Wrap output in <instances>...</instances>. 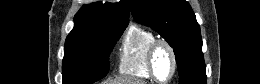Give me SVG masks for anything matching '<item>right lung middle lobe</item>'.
<instances>
[{
  "label": "right lung middle lobe",
  "instance_id": "1",
  "mask_svg": "<svg viewBox=\"0 0 260 84\" xmlns=\"http://www.w3.org/2000/svg\"><path fill=\"white\" fill-rule=\"evenodd\" d=\"M126 27H108L85 41L65 43L63 84H90L109 72V55Z\"/></svg>",
  "mask_w": 260,
  "mask_h": 84
}]
</instances>
